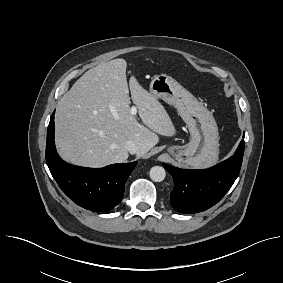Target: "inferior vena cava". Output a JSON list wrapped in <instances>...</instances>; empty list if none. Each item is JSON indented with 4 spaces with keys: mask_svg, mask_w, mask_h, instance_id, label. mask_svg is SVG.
<instances>
[{
    "mask_svg": "<svg viewBox=\"0 0 283 283\" xmlns=\"http://www.w3.org/2000/svg\"><path fill=\"white\" fill-rule=\"evenodd\" d=\"M126 149L131 154H137L140 150V147L135 141L129 140V141L126 142Z\"/></svg>",
    "mask_w": 283,
    "mask_h": 283,
    "instance_id": "602c4592",
    "label": "inferior vena cava"
}]
</instances>
